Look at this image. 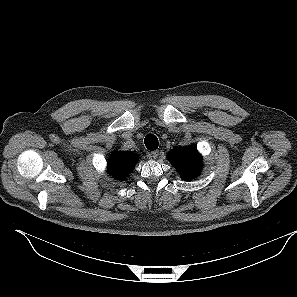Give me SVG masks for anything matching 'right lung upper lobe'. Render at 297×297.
<instances>
[{
	"label": "right lung upper lobe",
	"mask_w": 297,
	"mask_h": 297,
	"mask_svg": "<svg viewBox=\"0 0 297 297\" xmlns=\"http://www.w3.org/2000/svg\"><path fill=\"white\" fill-rule=\"evenodd\" d=\"M138 161V156L132 152H115L108 161L109 173L118 180H124L133 170Z\"/></svg>",
	"instance_id": "1"
}]
</instances>
